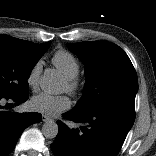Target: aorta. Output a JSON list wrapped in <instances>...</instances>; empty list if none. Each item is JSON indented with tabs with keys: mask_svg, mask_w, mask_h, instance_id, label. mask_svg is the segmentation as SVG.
I'll list each match as a JSON object with an SVG mask.
<instances>
[{
	"mask_svg": "<svg viewBox=\"0 0 156 156\" xmlns=\"http://www.w3.org/2000/svg\"><path fill=\"white\" fill-rule=\"evenodd\" d=\"M58 85L59 82L55 73L52 70L45 71L40 81L41 89L47 93H55L58 89ZM58 131V125L53 120L46 121L42 126V133L48 139L55 138Z\"/></svg>",
	"mask_w": 156,
	"mask_h": 156,
	"instance_id": "762f6f07",
	"label": "aorta"
}]
</instances>
